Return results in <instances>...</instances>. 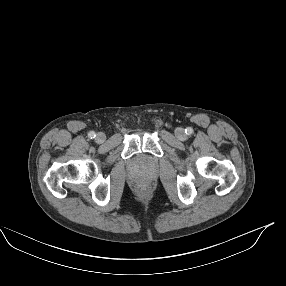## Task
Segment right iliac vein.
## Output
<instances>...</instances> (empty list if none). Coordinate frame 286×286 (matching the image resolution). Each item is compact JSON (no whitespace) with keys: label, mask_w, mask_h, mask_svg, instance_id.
<instances>
[{"label":"right iliac vein","mask_w":286,"mask_h":286,"mask_svg":"<svg viewBox=\"0 0 286 286\" xmlns=\"http://www.w3.org/2000/svg\"><path fill=\"white\" fill-rule=\"evenodd\" d=\"M106 140V136L104 133L100 132L96 135V142L103 143Z\"/></svg>","instance_id":"obj_1"}]
</instances>
